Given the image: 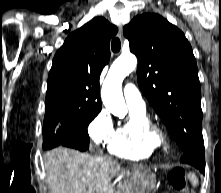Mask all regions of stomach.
<instances>
[{"label": "stomach", "mask_w": 221, "mask_h": 193, "mask_svg": "<svg viewBox=\"0 0 221 193\" xmlns=\"http://www.w3.org/2000/svg\"><path fill=\"white\" fill-rule=\"evenodd\" d=\"M133 178L137 179V185L133 189V193H145L149 190L148 182H155L159 179V174H151L152 167L147 164H133Z\"/></svg>", "instance_id": "stomach-1"}]
</instances>
